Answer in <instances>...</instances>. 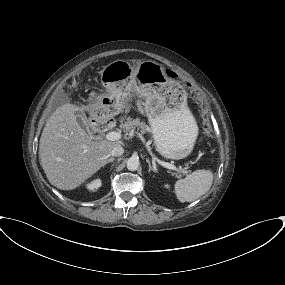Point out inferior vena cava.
Instances as JSON below:
<instances>
[{
	"instance_id": "1",
	"label": "inferior vena cava",
	"mask_w": 285,
	"mask_h": 285,
	"mask_svg": "<svg viewBox=\"0 0 285 285\" xmlns=\"http://www.w3.org/2000/svg\"><path fill=\"white\" fill-rule=\"evenodd\" d=\"M124 153V149L122 146H115L111 151V156L118 157Z\"/></svg>"
}]
</instances>
